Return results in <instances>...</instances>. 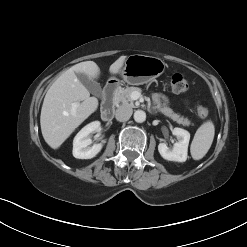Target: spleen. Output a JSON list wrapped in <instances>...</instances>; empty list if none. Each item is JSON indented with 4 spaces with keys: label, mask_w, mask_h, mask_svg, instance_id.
Instances as JSON below:
<instances>
[{
    "label": "spleen",
    "mask_w": 247,
    "mask_h": 247,
    "mask_svg": "<svg viewBox=\"0 0 247 247\" xmlns=\"http://www.w3.org/2000/svg\"><path fill=\"white\" fill-rule=\"evenodd\" d=\"M215 135L212 121L204 122L196 131L191 143L190 152L194 160L202 159L210 149Z\"/></svg>",
    "instance_id": "3e777b00"
}]
</instances>
